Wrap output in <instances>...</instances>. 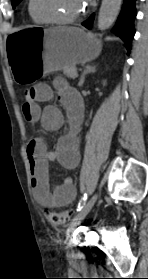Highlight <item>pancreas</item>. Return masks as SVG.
<instances>
[{"instance_id": "1", "label": "pancreas", "mask_w": 148, "mask_h": 279, "mask_svg": "<svg viewBox=\"0 0 148 279\" xmlns=\"http://www.w3.org/2000/svg\"><path fill=\"white\" fill-rule=\"evenodd\" d=\"M63 73L70 79H75L78 77L77 69L75 66H64Z\"/></svg>"}]
</instances>
